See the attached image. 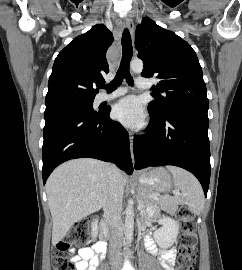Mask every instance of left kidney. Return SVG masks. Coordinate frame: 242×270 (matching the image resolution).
Wrapping results in <instances>:
<instances>
[{
	"instance_id": "left-kidney-1",
	"label": "left kidney",
	"mask_w": 242,
	"mask_h": 270,
	"mask_svg": "<svg viewBox=\"0 0 242 270\" xmlns=\"http://www.w3.org/2000/svg\"><path fill=\"white\" fill-rule=\"evenodd\" d=\"M162 227L155 231L154 239L159 247L167 249L176 241L179 234V223L170 217L159 220Z\"/></svg>"
}]
</instances>
